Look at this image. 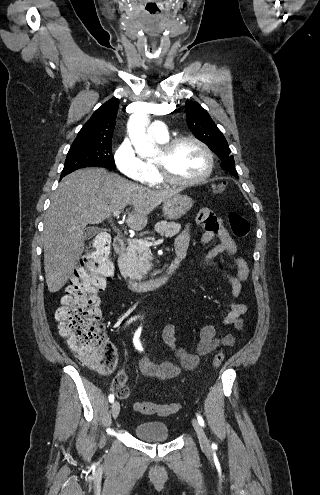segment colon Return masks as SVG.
<instances>
[{
  "label": "colon",
  "mask_w": 320,
  "mask_h": 495,
  "mask_svg": "<svg viewBox=\"0 0 320 495\" xmlns=\"http://www.w3.org/2000/svg\"><path fill=\"white\" fill-rule=\"evenodd\" d=\"M223 182L215 187L216 193L226 190ZM228 221L232 233L239 238L250 230L248 220L237 212L229 213ZM110 240L100 236L94 240L83 258L81 268L66 289L62 305L56 311V320L61 336L80 360L100 373L112 372L117 364L115 347L105 340L101 322V311L97 293L103 291L113 276V264L109 255ZM224 353L219 351L213 358V366L220 367ZM126 376L118 375L112 383L116 396L125 399L129 395ZM134 409L142 414L168 416L180 409L179 403L157 404L149 401L136 402Z\"/></svg>",
  "instance_id": "obj_1"
}]
</instances>
